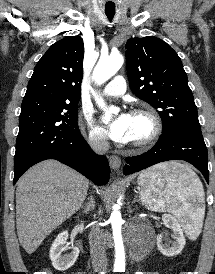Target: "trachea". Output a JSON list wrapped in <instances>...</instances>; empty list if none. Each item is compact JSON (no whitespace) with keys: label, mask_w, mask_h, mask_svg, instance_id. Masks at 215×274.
<instances>
[{"label":"trachea","mask_w":215,"mask_h":274,"mask_svg":"<svg viewBox=\"0 0 215 274\" xmlns=\"http://www.w3.org/2000/svg\"><path fill=\"white\" fill-rule=\"evenodd\" d=\"M107 18L111 21L115 15V13H106Z\"/></svg>","instance_id":"3493384b"}]
</instances>
